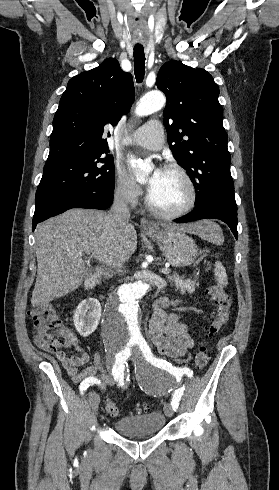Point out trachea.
Masks as SVG:
<instances>
[{
    "mask_svg": "<svg viewBox=\"0 0 279 490\" xmlns=\"http://www.w3.org/2000/svg\"><path fill=\"white\" fill-rule=\"evenodd\" d=\"M134 72L137 81H143L145 75V55L143 47H134Z\"/></svg>",
    "mask_w": 279,
    "mask_h": 490,
    "instance_id": "3493384b",
    "label": "trachea"
}]
</instances>
